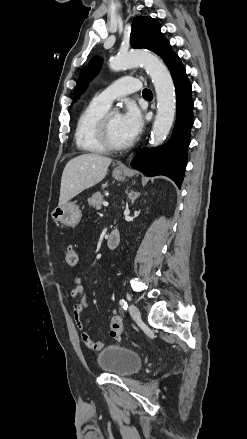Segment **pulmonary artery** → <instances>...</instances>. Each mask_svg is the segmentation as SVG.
<instances>
[{
  "mask_svg": "<svg viewBox=\"0 0 247 439\" xmlns=\"http://www.w3.org/2000/svg\"><path fill=\"white\" fill-rule=\"evenodd\" d=\"M140 88V80L134 77H123L99 93L95 99L110 107L115 99L136 92Z\"/></svg>",
  "mask_w": 247,
  "mask_h": 439,
  "instance_id": "1",
  "label": "pulmonary artery"
}]
</instances>
